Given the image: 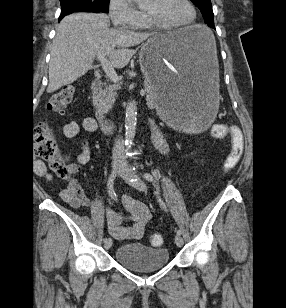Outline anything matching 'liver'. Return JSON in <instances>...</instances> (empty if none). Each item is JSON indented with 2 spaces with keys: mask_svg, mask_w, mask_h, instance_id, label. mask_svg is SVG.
Wrapping results in <instances>:
<instances>
[{
  "mask_svg": "<svg viewBox=\"0 0 286 308\" xmlns=\"http://www.w3.org/2000/svg\"><path fill=\"white\" fill-rule=\"evenodd\" d=\"M177 34L178 31H173L164 35L174 37ZM153 35L111 29L105 14L75 13L65 16L56 28L51 48L47 92L53 93L87 73L99 52H104L115 68L127 66L135 54L133 47ZM95 75L99 76V73L95 72Z\"/></svg>",
  "mask_w": 286,
  "mask_h": 308,
  "instance_id": "obj_1",
  "label": "liver"
}]
</instances>
